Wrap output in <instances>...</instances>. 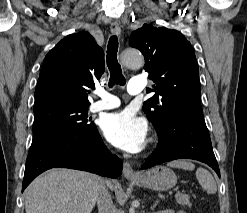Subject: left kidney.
<instances>
[{
  "label": "left kidney",
  "instance_id": "left-kidney-1",
  "mask_svg": "<svg viewBox=\"0 0 247 213\" xmlns=\"http://www.w3.org/2000/svg\"><path fill=\"white\" fill-rule=\"evenodd\" d=\"M179 213H185V212L181 211V212H179Z\"/></svg>",
  "mask_w": 247,
  "mask_h": 213
}]
</instances>
